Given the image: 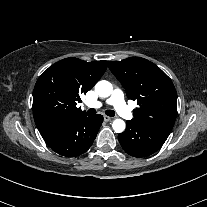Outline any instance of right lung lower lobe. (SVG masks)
Segmentation results:
<instances>
[{"instance_id":"1","label":"right lung lower lobe","mask_w":207,"mask_h":207,"mask_svg":"<svg viewBox=\"0 0 207 207\" xmlns=\"http://www.w3.org/2000/svg\"><path fill=\"white\" fill-rule=\"evenodd\" d=\"M103 122L102 115L82 116L57 126L42 135L47 145L65 157H76L92 145Z\"/></svg>"}]
</instances>
